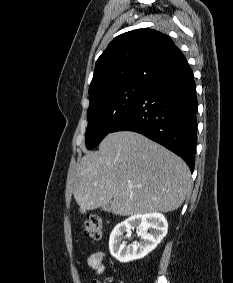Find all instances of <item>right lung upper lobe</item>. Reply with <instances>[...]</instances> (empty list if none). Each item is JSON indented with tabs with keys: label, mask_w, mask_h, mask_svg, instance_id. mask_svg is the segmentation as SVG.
<instances>
[{
	"label": "right lung upper lobe",
	"mask_w": 233,
	"mask_h": 283,
	"mask_svg": "<svg viewBox=\"0 0 233 283\" xmlns=\"http://www.w3.org/2000/svg\"><path fill=\"white\" fill-rule=\"evenodd\" d=\"M185 59L167 35L137 29L116 37L98 58L89 87L90 102L130 83L149 84Z\"/></svg>",
	"instance_id": "obj_1"
}]
</instances>
